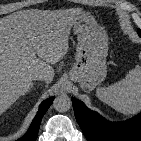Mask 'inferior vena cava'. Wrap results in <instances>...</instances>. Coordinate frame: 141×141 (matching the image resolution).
Returning a JSON list of instances; mask_svg holds the SVG:
<instances>
[{
	"label": "inferior vena cava",
	"instance_id": "602c4592",
	"mask_svg": "<svg viewBox=\"0 0 141 141\" xmlns=\"http://www.w3.org/2000/svg\"><path fill=\"white\" fill-rule=\"evenodd\" d=\"M34 80H44L45 82H48L50 78L44 73V72H36L33 75Z\"/></svg>",
	"mask_w": 141,
	"mask_h": 141
}]
</instances>
